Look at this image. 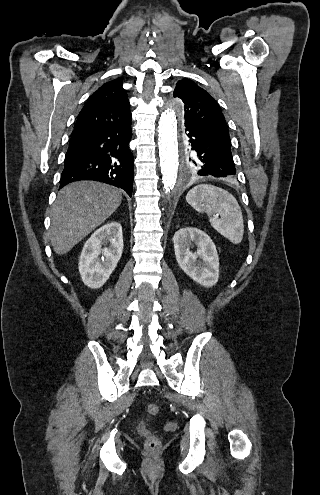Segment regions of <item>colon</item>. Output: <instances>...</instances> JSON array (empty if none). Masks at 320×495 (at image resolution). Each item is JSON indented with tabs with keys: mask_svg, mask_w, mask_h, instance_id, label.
I'll return each instance as SVG.
<instances>
[{
	"mask_svg": "<svg viewBox=\"0 0 320 495\" xmlns=\"http://www.w3.org/2000/svg\"><path fill=\"white\" fill-rule=\"evenodd\" d=\"M159 411L160 407L156 403H151L147 406V413L150 417L157 416L159 414ZM139 433L144 438L145 446L147 449L156 450L160 447L161 443L159 438L150 430H148L146 421H142L139 424Z\"/></svg>",
	"mask_w": 320,
	"mask_h": 495,
	"instance_id": "obj_1",
	"label": "colon"
}]
</instances>
